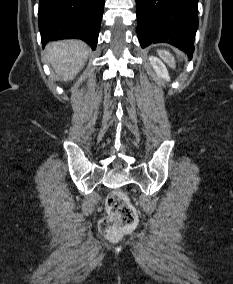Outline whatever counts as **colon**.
Returning a JSON list of instances; mask_svg holds the SVG:
<instances>
[{"label":"colon","instance_id":"1","mask_svg":"<svg viewBox=\"0 0 233 284\" xmlns=\"http://www.w3.org/2000/svg\"><path fill=\"white\" fill-rule=\"evenodd\" d=\"M161 58L172 68L176 67L174 56L167 50H160ZM107 216L99 224L100 231L109 237L118 235L132 228L137 222V213L127 195L116 190L111 192L106 200Z\"/></svg>","mask_w":233,"mask_h":284}]
</instances>
